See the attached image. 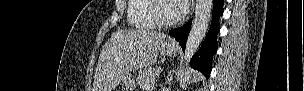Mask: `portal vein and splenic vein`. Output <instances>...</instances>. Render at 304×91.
<instances>
[{"instance_id": "1", "label": "portal vein and splenic vein", "mask_w": 304, "mask_h": 91, "mask_svg": "<svg viewBox=\"0 0 304 91\" xmlns=\"http://www.w3.org/2000/svg\"><path fill=\"white\" fill-rule=\"evenodd\" d=\"M148 89L152 90V89H153V87L148 86Z\"/></svg>"}]
</instances>
